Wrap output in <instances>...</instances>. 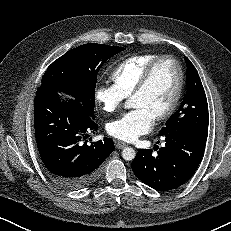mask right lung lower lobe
<instances>
[{"instance_id": "1", "label": "right lung lower lobe", "mask_w": 231, "mask_h": 231, "mask_svg": "<svg viewBox=\"0 0 231 231\" xmlns=\"http://www.w3.org/2000/svg\"><path fill=\"white\" fill-rule=\"evenodd\" d=\"M35 138L41 159L50 178L68 190H78L94 183L103 162L113 152L110 138L88 141L98 125L82 103L60 98L51 88L40 86L34 101Z\"/></svg>"}]
</instances>
